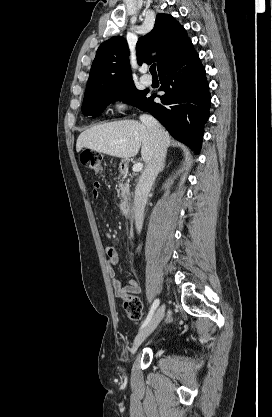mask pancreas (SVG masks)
Masks as SVG:
<instances>
[{
  "label": "pancreas",
  "instance_id": "obj_1",
  "mask_svg": "<svg viewBox=\"0 0 272 417\" xmlns=\"http://www.w3.org/2000/svg\"><path fill=\"white\" fill-rule=\"evenodd\" d=\"M118 187H119V189L117 190V194L119 196L122 191L129 189V184L127 182H125V183L120 182Z\"/></svg>",
  "mask_w": 272,
  "mask_h": 417
}]
</instances>
